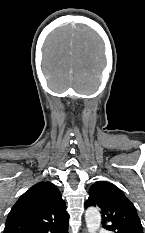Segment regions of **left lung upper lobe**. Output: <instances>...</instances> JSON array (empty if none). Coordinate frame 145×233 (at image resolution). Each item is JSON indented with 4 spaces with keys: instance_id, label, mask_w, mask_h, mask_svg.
I'll return each instance as SVG.
<instances>
[{
    "instance_id": "5c2ea615",
    "label": "left lung upper lobe",
    "mask_w": 145,
    "mask_h": 233,
    "mask_svg": "<svg viewBox=\"0 0 145 233\" xmlns=\"http://www.w3.org/2000/svg\"><path fill=\"white\" fill-rule=\"evenodd\" d=\"M90 206L100 208L103 227L112 233H143L136 208L112 183L98 181L90 187L85 207Z\"/></svg>"
}]
</instances>
